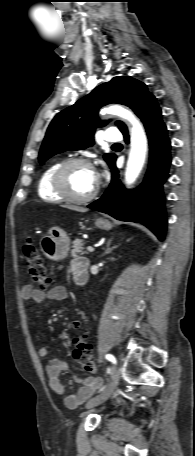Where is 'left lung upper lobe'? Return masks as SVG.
<instances>
[{
    "label": "left lung upper lobe",
    "instance_id": "1",
    "mask_svg": "<svg viewBox=\"0 0 195 456\" xmlns=\"http://www.w3.org/2000/svg\"><path fill=\"white\" fill-rule=\"evenodd\" d=\"M152 97L144 83L129 76L114 77L111 81L98 86L89 95L54 117L40 149V164H44L55 154L92 146L95 129L107 124V121L98 119L97 113L100 107L110 103H120L137 113ZM116 124L122 133L127 131V127L122 122L117 121ZM104 159L111 166L116 155L107 153L104 154Z\"/></svg>",
    "mask_w": 195,
    "mask_h": 456
}]
</instances>
